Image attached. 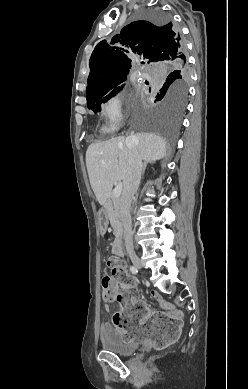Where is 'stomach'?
I'll use <instances>...</instances> for the list:
<instances>
[{
    "label": "stomach",
    "mask_w": 248,
    "mask_h": 389,
    "mask_svg": "<svg viewBox=\"0 0 248 389\" xmlns=\"http://www.w3.org/2000/svg\"><path fill=\"white\" fill-rule=\"evenodd\" d=\"M99 213H100L99 218H100V225H101V229L99 230V233L101 235H104L108 231L107 220H110L111 215L110 213H106L105 207H100Z\"/></svg>",
    "instance_id": "obj_1"
}]
</instances>
